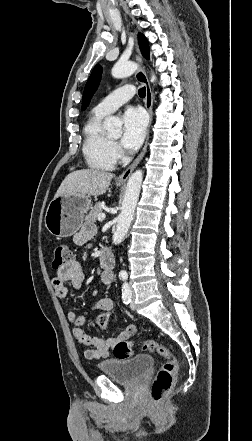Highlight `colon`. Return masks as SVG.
<instances>
[{"label": "colon", "instance_id": "colon-1", "mask_svg": "<svg viewBox=\"0 0 252 441\" xmlns=\"http://www.w3.org/2000/svg\"><path fill=\"white\" fill-rule=\"evenodd\" d=\"M73 260L72 252L66 245H58L54 250L52 267L60 269ZM114 311V304L108 303L103 309L97 312L95 325L104 328L110 321ZM141 349L146 352L156 353L166 361L157 372L151 388V398L154 403H160L171 391L175 373L178 368V360L166 346L153 340H146L141 343ZM134 353V344L129 341H120L114 347L116 358H128Z\"/></svg>", "mask_w": 252, "mask_h": 441}]
</instances>
